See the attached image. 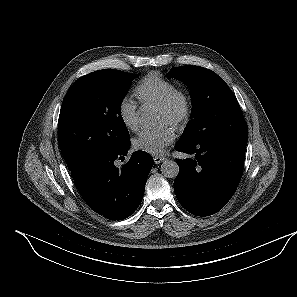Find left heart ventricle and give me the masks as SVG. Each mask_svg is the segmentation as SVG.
<instances>
[{
	"instance_id": "obj_1",
	"label": "left heart ventricle",
	"mask_w": 297,
	"mask_h": 297,
	"mask_svg": "<svg viewBox=\"0 0 297 297\" xmlns=\"http://www.w3.org/2000/svg\"><path fill=\"white\" fill-rule=\"evenodd\" d=\"M157 118L159 123H170L168 114L160 109L157 110Z\"/></svg>"
}]
</instances>
